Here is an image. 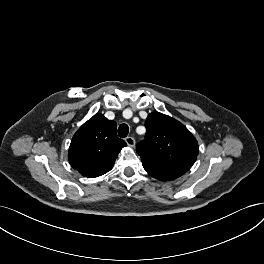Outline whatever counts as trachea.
<instances>
[{
  "label": "trachea",
  "instance_id": "3493384b",
  "mask_svg": "<svg viewBox=\"0 0 264 264\" xmlns=\"http://www.w3.org/2000/svg\"><path fill=\"white\" fill-rule=\"evenodd\" d=\"M129 133V127L127 124H121L118 128V135L121 138H125Z\"/></svg>",
  "mask_w": 264,
  "mask_h": 264
}]
</instances>
